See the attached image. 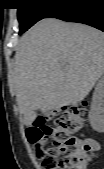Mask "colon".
<instances>
[{
  "mask_svg": "<svg viewBox=\"0 0 104 169\" xmlns=\"http://www.w3.org/2000/svg\"><path fill=\"white\" fill-rule=\"evenodd\" d=\"M54 115L40 116L26 129V137L42 169H84L94 146L89 140L78 139L75 135L88 118L87 103L66 108L53 124H48L47 121ZM48 139L50 142H47Z\"/></svg>",
  "mask_w": 104,
  "mask_h": 169,
  "instance_id": "5ec220e1",
  "label": "colon"
}]
</instances>
